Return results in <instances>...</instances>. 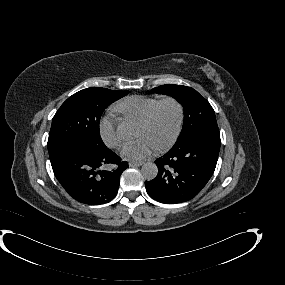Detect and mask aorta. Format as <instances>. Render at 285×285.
<instances>
[{
    "label": "aorta",
    "mask_w": 285,
    "mask_h": 285,
    "mask_svg": "<svg viewBox=\"0 0 285 285\" xmlns=\"http://www.w3.org/2000/svg\"><path fill=\"white\" fill-rule=\"evenodd\" d=\"M124 131L123 126L118 127V133L121 135ZM142 175L144 176L145 179L147 180H153L156 178L158 174V167L155 163L152 162H146L143 164L142 169H141Z\"/></svg>",
    "instance_id": "1"
}]
</instances>
